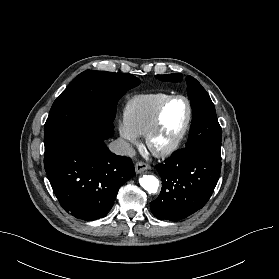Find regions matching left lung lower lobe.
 <instances>
[{
  "label": "left lung lower lobe",
  "mask_w": 279,
  "mask_h": 279,
  "mask_svg": "<svg viewBox=\"0 0 279 279\" xmlns=\"http://www.w3.org/2000/svg\"><path fill=\"white\" fill-rule=\"evenodd\" d=\"M221 158L202 150L182 148L157 165L162 190L150 208L160 220L178 221L201 209L219 179Z\"/></svg>",
  "instance_id": "1"
}]
</instances>
